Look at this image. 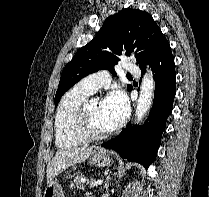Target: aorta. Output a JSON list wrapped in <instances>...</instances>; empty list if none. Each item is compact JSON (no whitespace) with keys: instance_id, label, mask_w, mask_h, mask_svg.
I'll return each instance as SVG.
<instances>
[{"instance_id":"762f6f07","label":"aorta","mask_w":209,"mask_h":197,"mask_svg":"<svg viewBox=\"0 0 209 197\" xmlns=\"http://www.w3.org/2000/svg\"><path fill=\"white\" fill-rule=\"evenodd\" d=\"M154 88L155 81L152 72L147 70L141 82L140 94L136 105V123L142 121L146 113L149 111L153 101Z\"/></svg>"}]
</instances>
